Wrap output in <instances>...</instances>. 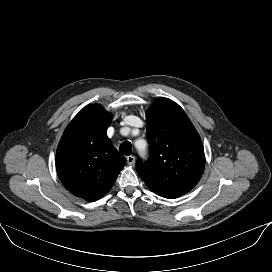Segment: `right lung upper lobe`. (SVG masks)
Wrapping results in <instances>:
<instances>
[{
  "mask_svg": "<svg viewBox=\"0 0 272 272\" xmlns=\"http://www.w3.org/2000/svg\"><path fill=\"white\" fill-rule=\"evenodd\" d=\"M111 120L101 105H88L69 123L57 147L60 181L87 201L98 200L111 189L126 161L106 135Z\"/></svg>",
  "mask_w": 272,
  "mask_h": 272,
  "instance_id": "obj_1",
  "label": "right lung upper lobe"
}]
</instances>
